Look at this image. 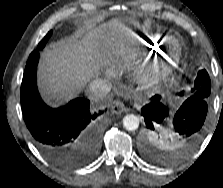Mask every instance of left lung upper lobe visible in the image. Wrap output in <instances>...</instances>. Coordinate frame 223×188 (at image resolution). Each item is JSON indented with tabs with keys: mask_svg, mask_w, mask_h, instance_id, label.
<instances>
[{
	"mask_svg": "<svg viewBox=\"0 0 223 188\" xmlns=\"http://www.w3.org/2000/svg\"><path fill=\"white\" fill-rule=\"evenodd\" d=\"M211 91V82L205 69L198 72L194 87L188 96L208 100ZM183 95V93H180ZM143 156L152 163L159 165L171 164L178 161L188 152H184L176 136L165 127L144 129L143 131Z\"/></svg>",
	"mask_w": 223,
	"mask_h": 188,
	"instance_id": "5c2ea615",
	"label": "left lung upper lobe"
}]
</instances>
